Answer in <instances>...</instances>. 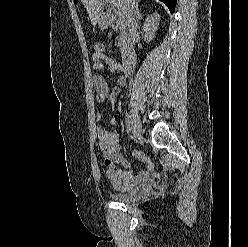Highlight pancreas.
<instances>
[{
  "label": "pancreas",
  "mask_w": 248,
  "mask_h": 247,
  "mask_svg": "<svg viewBox=\"0 0 248 247\" xmlns=\"http://www.w3.org/2000/svg\"><path fill=\"white\" fill-rule=\"evenodd\" d=\"M121 25V21H116V26H120ZM118 40H119V47H120V51L122 56L125 55L126 51H127V45H128V39H127V34L125 30H121L120 29V33L118 35Z\"/></svg>",
  "instance_id": "pancreas-1"
}]
</instances>
